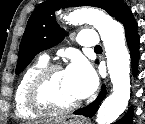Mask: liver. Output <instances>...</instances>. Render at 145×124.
Wrapping results in <instances>:
<instances>
[{
    "label": "liver",
    "mask_w": 145,
    "mask_h": 124,
    "mask_svg": "<svg viewBox=\"0 0 145 124\" xmlns=\"http://www.w3.org/2000/svg\"><path fill=\"white\" fill-rule=\"evenodd\" d=\"M65 120V118H56L54 120H47L45 124H60ZM44 122H35L34 124H43Z\"/></svg>",
    "instance_id": "1"
}]
</instances>
